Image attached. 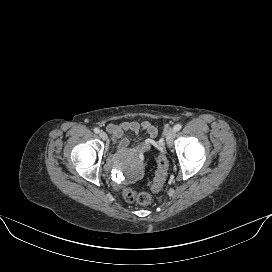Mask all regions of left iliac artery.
I'll return each instance as SVG.
<instances>
[{
    "mask_svg": "<svg viewBox=\"0 0 272 272\" xmlns=\"http://www.w3.org/2000/svg\"><path fill=\"white\" fill-rule=\"evenodd\" d=\"M181 128H182L181 124H176V125L174 126L173 129H174L175 132H177V131H179Z\"/></svg>",
    "mask_w": 272,
    "mask_h": 272,
    "instance_id": "44dca946",
    "label": "left iliac artery"
}]
</instances>
